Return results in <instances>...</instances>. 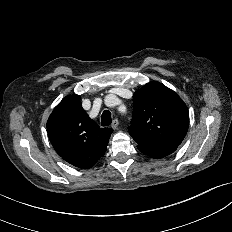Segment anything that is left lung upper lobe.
Instances as JSON below:
<instances>
[{
  "label": "left lung upper lobe",
  "instance_id": "1",
  "mask_svg": "<svg viewBox=\"0 0 232 232\" xmlns=\"http://www.w3.org/2000/svg\"><path fill=\"white\" fill-rule=\"evenodd\" d=\"M189 124L185 103L159 82L147 83L133 95V119L128 131L140 146H179Z\"/></svg>",
  "mask_w": 232,
  "mask_h": 232
}]
</instances>
